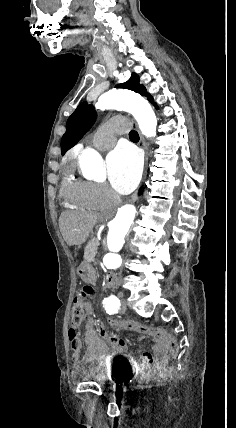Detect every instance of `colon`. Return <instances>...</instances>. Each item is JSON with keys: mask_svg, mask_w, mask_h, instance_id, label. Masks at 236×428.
I'll return each mask as SVG.
<instances>
[{"mask_svg": "<svg viewBox=\"0 0 236 428\" xmlns=\"http://www.w3.org/2000/svg\"><path fill=\"white\" fill-rule=\"evenodd\" d=\"M93 289L88 286H82L76 293L72 312H71V328L69 330V339L74 340L78 336V332L86 319V311L89 306V297L92 295ZM108 325L113 328H130L139 331L142 334L150 335L156 338L169 351L170 356L176 359L179 354V346L175 338L169 333L149 327L135 322H123L118 320H108ZM171 373L170 367L163 368L158 374L153 377L156 382L163 381L169 377Z\"/></svg>", "mask_w": 236, "mask_h": 428, "instance_id": "5ec220e1", "label": "colon"}]
</instances>
